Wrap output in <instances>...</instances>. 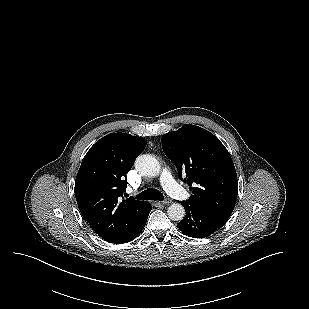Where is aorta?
I'll list each match as a JSON object with an SVG mask.
<instances>
[{"instance_id":"aorta-1","label":"aorta","mask_w":309,"mask_h":309,"mask_svg":"<svg viewBox=\"0 0 309 309\" xmlns=\"http://www.w3.org/2000/svg\"><path fill=\"white\" fill-rule=\"evenodd\" d=\"M135 168L143 176L155 177L158 176L161 171L159 161L148 154H143L137 157L135 161ZM168 217L173 221H181L185 217V209L179 203H173L167 210Z\"/></svg>"}]
</instances>
